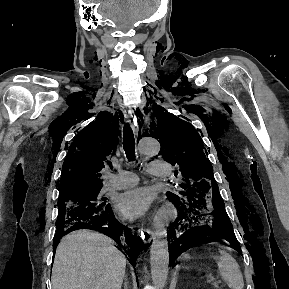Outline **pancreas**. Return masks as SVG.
Returning <instances> with one entry per match:
<instances>
[{
	"mask_svg": "<svg viewBox=\"0 0 289 289\" xmlns=\"http://www.w3.org/2000/svg\"><path fill=\"white\" fill-rule=\"evenodd\" d=\"M214 285V287L216 288V289H219L220 287L218 286V284H213Z\"/></svg>",
	"mask_w": 289,
	"mask_h": 289,
	"instance_id": "pancreas-1",
	"label": "pancreas"
}]
</instances>
